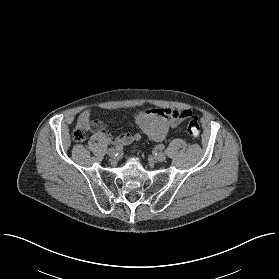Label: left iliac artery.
<instances>
[{"mask_svg":"<svg viewBox=\"0 0 279 279\" xmlns=\"http://www.w3.org/2000/svg\"><path fill=\"white\" fill-rule=\"evenodd\" d=\"M157 147L159 150H163L165 148L163 144H159Z\"/></svg>","mask_w":279,"mask_h":279,"instance_id":"1","label":"left iliac artery"}]
</instances>
